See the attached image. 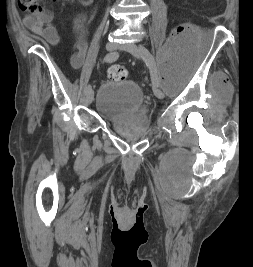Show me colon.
I'll list each match as a JSON object with an SVG mask.
<instances>
[{
	"mask_svg": "<svg viewBox=\"0 0 253 267\" xmlns=\"http://www.w3.org/2000/svg\"><path fill=\"white\" fill-rule=\"evenodd\" d=\"M17 4L22 11L31 13L41 11L40 0H17ZM108 75L114 81L124 80L127 77V70L121 65H113L109 68Z\"/></svg>",
	"mask_w": 253,
	"mask_h": 267,
	"instance_id": "1",
	"label": "colon"
}]
</instances>
